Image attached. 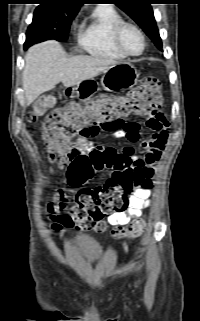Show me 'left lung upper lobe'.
Segmentation results:
<instances>
[{"label": "left lung upper lobe", "mask_w": 200, "mask_h": 321, "mask_svg": "<svg viewBox=\"0 0 200 321\" xmlns=\"http://www.w3.org/2000/svg\"><path fill=\"white\" fill-rule=\"evenodd\" d=\"M127 13L161 49L162 43L150 4L152 0H112Z\"/></svg>", "instance_id": "1"}]
</instances>
